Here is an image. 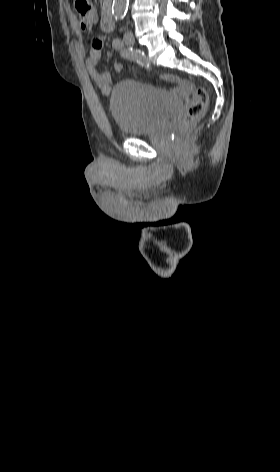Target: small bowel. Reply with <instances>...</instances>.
<instances>
[{"mask_svg": "<svg viewBox=\"0 0 280 472\" xmlns=\"http://www.w3.org/2000/svg\"><path fill=\"white\" fill-rule=\"evenodd\" d=\"M103 55H102V50H101V41L98 38L93 39L91 50L89 53V56L86 60V67L89 73L90 78L92 81L98 85L102 93L104 95H108L111 89V84H112V75L110 72H104V73H98L96 70L97 64H99L102 61ZM126 58H124L121 55V60L115 63L113 69L116 72H119L123 68V61ZM163 80L166 82L172 83L176 85V92L178 93H185L190 90L191 86L181 80L179 77L175 75H164Z\"/></svg>", "mask_w": 280, "mask_h": 472, "instance_id": "obj_1", "label": "small bowel"}]
</instances>
